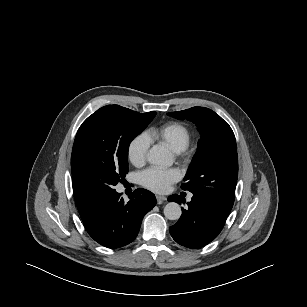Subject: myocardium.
Wrapping results in <instances>:
<instances>
[{
  "label": "myocardium",
  "mask_w": 307,
  "mask_h": 307,
  "mask_svg": "<svg viewBox=\"0 0 307 307\" xmlns=\"http://www.w3.org/2000/svg\"><path fill=\"white\" fill-rule=\"evenodd\" d=\"M178 155H181L183 157H189L191 154V151L187 148H185L183 151L177 153Z\"/></svg>",
  "instance_id": "myocardium-1"
}]
</instances>
